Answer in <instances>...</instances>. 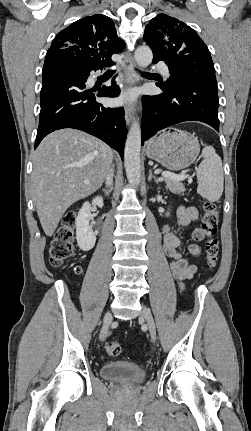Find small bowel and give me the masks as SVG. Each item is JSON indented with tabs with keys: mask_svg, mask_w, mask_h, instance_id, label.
<instances>
[{
	"mask_svg": "<svg viewBox=\"0 0 251 431\" xmlns=\"http://www.w3.org/2000/svg\"><path fill=\"white\" fill-rule=\"evenodd\" d=\"M176 216L178 223L181 226L187 227L197 220L198 212L194 207L180 206L176 210ZM163 233V250L165 255L170 259L172 277L178 282L180 287H183L186 281L191 280L196 275L198 267L195 264H189L188 261L181 256L178 251L181 239L168 225L164 226ZM192 238L197 242L203 240L204 232L202 229H194ZM188 252L192 257L197 258L201 255V247L197 243H192L188 247ZM81 271L82 269L80 267L75 269L77 274L81 273Z\"/></svg>",
	"mask_w": 251,
	"mask_h": 431,
	"instance_id": "obj_1",
	"label": "small bowel"
}]
</instances>
